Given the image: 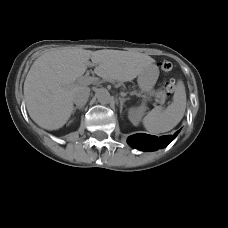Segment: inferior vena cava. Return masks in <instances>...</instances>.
I'll return each mask as SVG.
<instances>
[{
  "instance_id": "inferior-vena-cava-1",
  "label": "inferior vena cava",
  "mask_w": 228,
  "mask_h": 228,
  "mask_svg": "<svg viewBox=\"0 0 228 228\" xmlns=\"http://www.w3.org/2000/svg\"><path fill=\"white\" fill-rule=\"evenodd\" d=\"M90 90L89 88H79L73 94V102L77 106H84L89 98Z\"/></svg>"
}]
</instances>
